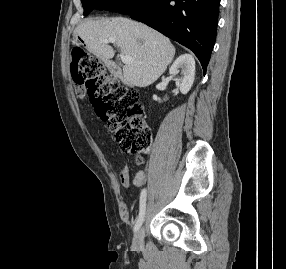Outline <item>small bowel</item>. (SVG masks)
Here are the masks:
<instances>
[{"mask_svg":"<svg viewBox=\"0 0 286 269\" xmlns=\"http://www.w3.org/2000/svg\"><path fill=\"white\" fill-rule=\"evenodd\" d=\"M79 93H80V95H83L82 91H80ZM119 178H120V181L124 187H129V185H130L129 170L127 167H123L121 169V171L119 173ZM145 178H146L145 171L143 169H139L134 175V178L132 180V184L136 187H140L144 183Z\"/></svg>","mask_w":286,"mask_h":269,"instance_id":"c3829d8e","label":"small bowel"}]
</instances>
